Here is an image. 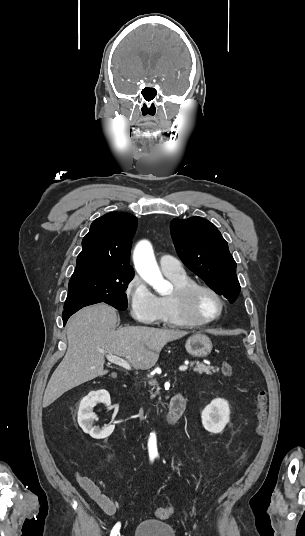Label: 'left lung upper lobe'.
I'll list each match as a JSON object with an SVG mask.
<instances>
[{
  "mask_svg": "<svg viewBox=\"0 0 305 536\" xmlns=\"http://www.w3.org/2000/svg\"><path fill=\"white\" fill-rule=\"evenodd\" d=\"M173 242L184 264L217 294L233 303L240 293L236 262L217 227L201 217L173 219Z\"/></svg>",
  "mask_w": 305,
  "mask_h": 536,
  "instance_id": "1",
  "label": "left lung upper lobe"
}]
</instances>
